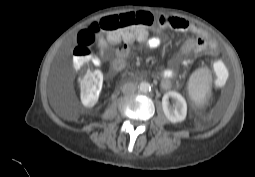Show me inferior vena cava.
I'll list each match as a JSON object with an SVG mask.
<instances>
[{
	"instance_id": "obj_1",
	"label": "inferior vena cava",
	"mask_w": 255,
	"mask_h": 177,
	"mask_svg": "<svg viewBox=\"0 0 255 177\" xmlns=\"http://www.w3.org/2000/svg\"><path fill=\"white\" fill-rule=\"evenodd\" d=\"M137 87L134 83H125L122 87V92L125 94H132L136 91Z\"/></svg>"
}]
</instances>
